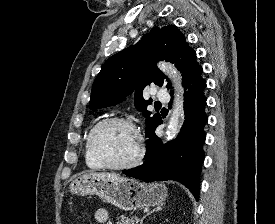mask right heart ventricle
Here are the masks:
<instances>
[{
	"label": "right heart ventricle",
	"mask_w": 275,
	"mask_h": 224,
	"mask_svg": "<svg viewBox=\"0 0 275 224\" xmlns=\"http://www.w3.org/2000/svg\"><path fill=\"white\" fill-rule=\"evenodd\" d=\"M84 158L88 168L93 170H98L102 168V166L98 163V161L93 157V155L90 152V149L88 146V136L86 137L85 143H84Z\"/></svg>",
	"instance_id": "obj_1"
}]
</instances>
